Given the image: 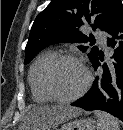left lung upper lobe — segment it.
<instances>
[{"mask_svg":"<svg viewBox=\"0 0 123 130\" xmlns=\"http://www.w3.org/2000/svg\"><path fill=\"white\" fill-rule=\"evenodd\" d=\"M123 10L120 0H52L47 8L37 15L25 49L24 64H28L39 51L51 43H87L89 39L79 27L91 23L93 30L105 32L113 29ZM81 51L88 47L79 46ZM99 54L96 46L88 54L92 61Z\"/></svg>","mask_w":123,"mask_h":130,"instance_id":"left-lung-upper-lobe-1","label":"left lung upper lobe"}]
</instances>
